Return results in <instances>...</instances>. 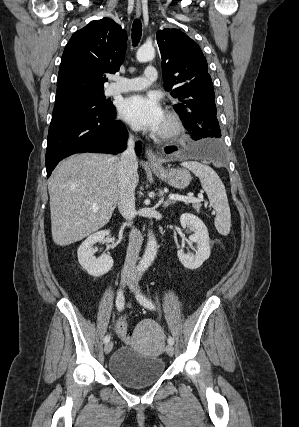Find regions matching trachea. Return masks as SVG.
<instances>
[{
	"instance_id": "1",
	"label": "trachea",
	"mask_w": 299,
	"mask_h": 427,
	"mask_svg": "<svg viewBox=\"0 0 299 427\" xmlns=\"http://www.w3.org/2000/svg\"><path fill=\"white\" fill-rule=\"evenodd\" d=\"M142 36V23L140 19H135L132 25V42L136 46L140 42Z\"/></svg>"
}]
</instances>
